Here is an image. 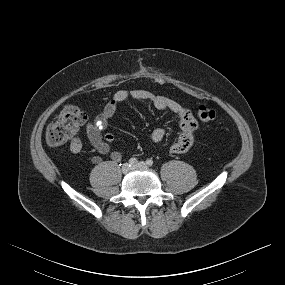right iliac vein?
Listing matches in <instances>:
<instances>
[{
    "instance_id": "obj_1",
    "label": "right iliac vein",
    "mask_w": 285,
    "mask_h": 285,
    "mask_svg": "<svg viewBox=\"0 0 285 285\" xmlns=\"http://www.w3.org/2000/svg\"><path fill=\"white\" fill-rule=\"evenodd\" d=\"M131 169H132V168L129 166L128 163H125V164H123V166H122V172H123L124 174L128 173Z\"/></svg>"
}]
</instances>
